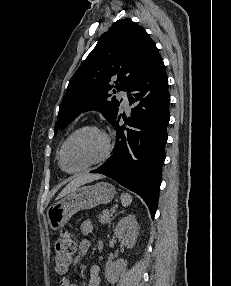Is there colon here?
<instances>
[{
  "instance_id": "colon-1",
  "label": "colon",
  "mask_w": 231,
  "mask_h": 286,
  "mask_svg": "<svg viewBox=\"0 0 231 286\" xmlns=\"http://www.w3.org/2000/svg\"><path fill=\"white\" fill-rule=\"evenodd\" d=\"M76 252L75 235L67 230H63L55 244V270L58 274L68 271L72 258Z\"/></svg>"
}]
</instances>
